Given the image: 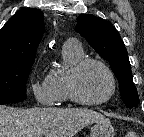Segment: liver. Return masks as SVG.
I'll return each instance as SVG.
<instances>
[{
  "label": "liver",
  "instance_id": "6515ba94",
  "mask_svg": "<svg viewBox=\"0 0 144 137\" xmlns=\"http://www.w3.org/2000/svg\"><path fill=\"white\" fill-rule=\"evenodd\" d=\"M103 119L102 114L87 108L18 109L0 105V137H73Z\"/></svg>",
  "mask_w": 144,
  "mask_h": 137
}]
</instances>
